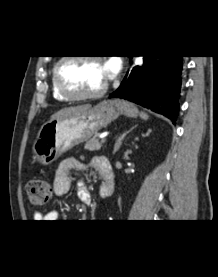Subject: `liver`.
Returning <instances> with one entry per match:
<instances>
[{
  "mask_svg": "<svg viewBox=\"0 0 218 277\" xmlns=\"http://www.w3.org/2000/svg\"><path fill=\"white\" fill-rule=\"evenodd\" d=\"M90 108H91L90 104L64 108V109H61L60 111L56 112L55 114H53L51 116V120L62 119V118L78 115Z\"/></svg>",
  "mask_w": 218,
  "mask_h": 277,
  "instance_id": "6515ba94",
  "label": "liver"
}]
</instances>
